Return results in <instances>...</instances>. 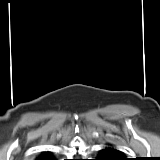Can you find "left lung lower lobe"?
I'll list each match as a JSON object with an SVG mask.
<instances>
[{
  "instance_id": "left-lung-lower-lobe-1",
  "label": "left lung lower lobe",
  "mask_w": 160,
  "mask_h": 160,
  "mask_svg": "<svg viewBox=\"0 0 160 160\" xmlns=\"http://www.w3.org/2000/svg\"><path fill=\"white\" fill-rule=\"evenodd\" d=\"M96 160H127V158L118 149L106 147L99 152Z\"/></svg>"
}]
</instances>
